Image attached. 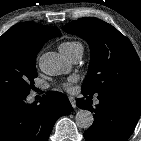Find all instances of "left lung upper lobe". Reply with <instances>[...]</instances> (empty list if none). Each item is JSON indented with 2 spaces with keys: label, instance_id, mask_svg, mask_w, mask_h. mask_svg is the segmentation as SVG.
<instances>
[{
  "label": "left lung upper lobe",
  "instance_id": "left-lung-upper-lobe-1",
  "mask_svg": "<svg viewBox=\"0 0 141 141\" xmlns=\"http://www.w3.org/2000/svg\"><path fill=\"white\" fill-rule=\"evenodd\" d=\"M63 30L82 37L90 46L91 62L83 92L141 93L140 59L132 43L115 27L87 17L68 23Z\"/></svg>",
  "mask_w": 141,
  "mask_h": 141
}]
</instances>
